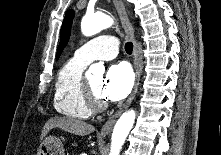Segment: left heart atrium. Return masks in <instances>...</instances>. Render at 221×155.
I'll return each instance as SVG.
<instances>
[{
	"label": "left heart atrium",
	"instance_id": "39dd6f15",
	"mask_svg": "<svg viewBox=\"0 0 221 155\" xmlns=\"http://www.w3.org/2000/svg\"><path fill=\"white\" fill-rule=\"evenodd\" d=\"M133 73L126 63L109 67L102 83L101 95L107 101H119L125 98L133 86Z\"/></svg>",
	"mask_w": 221,
	"mask_h": 155
}]
</instances>
